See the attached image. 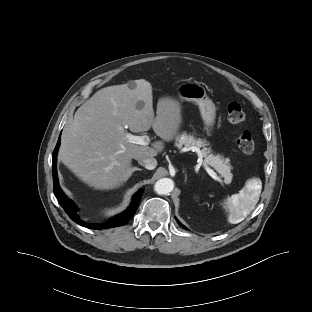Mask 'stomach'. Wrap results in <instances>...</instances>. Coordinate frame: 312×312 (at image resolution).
Instances as JSON below:
<instances>
[{
    "instance_id": "stomach-1",
    "label": "stomach",
    "mask_w": 312,
    "mask_h": 312,
    "mask_svg": "<svg viewBox=\"0 0 312 312\" xmlns=\"http://www.w3.org/2000/svg\"><path fill=\"white\" fill-rule=\"evenodd\" d=\"M177 93L181 100L194 102L198 105L205 130L211 134L216 118V107L207 96L204 87L197 82H185L178 87Z\"/></svg>"
}]
</instances>
